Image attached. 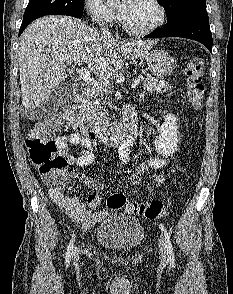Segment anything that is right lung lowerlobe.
Returning <instances> with one entry per match:
<instances>
[{
    "instance_id": "98d812e1",
    "label": "right lung lower lobe",
    "mask_w": 233,
    "mask_h": 294,
    "mask_svg": "<svg viewBox=\"0 0 233 294\" xmlns=\"http://www.w3.org/2000/svg\"><path fill=\"white\" fill-rule=\"evenodd\" d=\"M27 25H28V23H22L21 28L19 30V34H21L23 32V30L26 28Z\"/></svg>"
}]
</instances>
